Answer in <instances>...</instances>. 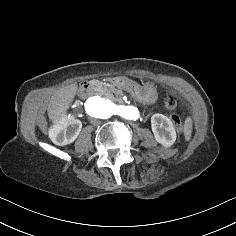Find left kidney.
Instances as JSON below:
<instances>
[{
	"label": "left kidney",
	"instance_id": "1",
	"mask_svg": "<svg viewBox=\"0 0 236 236\" xmlns=\"http://www.w3.org/2000/svg\"><path fill=\"white\" fill-rule=\"evenodd\" d=\"M152 132L157 142L165 147H170L176 140V131L171 120L163 115L156 113L151 117Z\"/></svg>",
	"mask_w": 236,
	"mask_h": 236
}]
</instances>
